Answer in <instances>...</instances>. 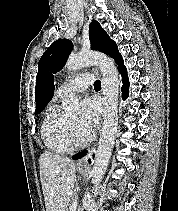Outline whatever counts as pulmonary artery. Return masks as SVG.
Instances as JSON below:
<instances>
[{"instance_id":"1","label":"pulmonary artery","mask_w":178,"mask_h":211,"mask_svg":"<svg viewBox=\"0 0 178 211\" xmlns=\"http://www.w3.org/2000/svg\"><path fill=\"white\" fill-rule=\"evenodd\" d=\"M94 82L93 74H83L76 76L67 83L61 85L57 91V95L60 98L68 97L72 94L85 91Z\"/></svg>"}]
</instances>
